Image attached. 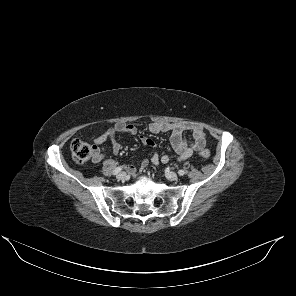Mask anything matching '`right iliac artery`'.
I'll return each instance as SVG.
<instances>
[{"mask_svg": "<svg viewBox=\"0 0 296 296\" xmlns=\"http://www.w3.org/2000/svg\"><path fill=\"white\" fill-rule=\"evenodd\" d=\"M121 170H122V167L115 168L114 171H113V175L118 174Z\"/></svg>", "mask_w": 296, "mask_h": 296, "instance_id": "82829eb1", "label": "right iliac artery"}]
</instances>
